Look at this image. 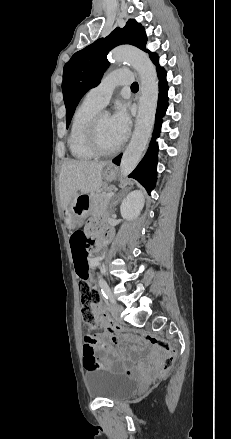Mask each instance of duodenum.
Returning a JSON list of instances; mask_svg holds the SVG:
<instances>
[{"mask_svg":"<svg viewBox=\"0 0 231 439\" xmlns=\"http://www.w3.org/2000/svg\"><path fill=\"white\" fill-rule=\"evenodd\" d=\"M98 244H97V240L92 241V247L97 248Z\"/></svg>","mask_w":231,"mask_h":439,"instance_id":"410a0bca","label":"duodenum"}]
</instances>
